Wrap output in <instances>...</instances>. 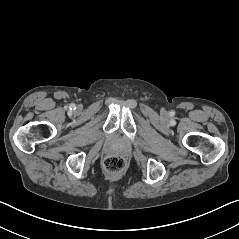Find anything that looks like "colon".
Wrapping results in <instances>:
<instances>
[{
    "label": "colon",
    "instance_id": "1",
    "mask_svg": "<svg viewBox=\"0 0 239 239\" xmlns=\"http://www.w3.org/2000/svg\"><path fill=\"white\" fill-rule=\"evenodd\" d=\"M104 167L109 172H119L125 167V160L119 155H109L104 159Z\"/></svg>",
    "mask_w": 239,
    "mask_h": 239
}]
</instances>
